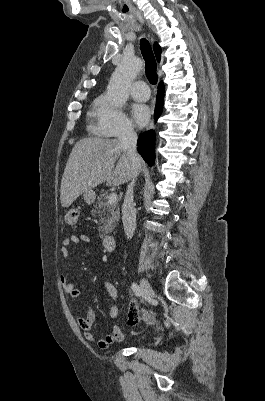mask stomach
Listing matches in <instances>:
<instances>
[{"mask_svg": "<svg viewBox=\"0 0 265 401\" xmlns=\"http://www.w3.org/2000/svg\"><path fill=\"white\" fill-rule=\"evenodd\" d=\"M95 190H87V192H83V198L85 203H88V205H92V203H94L95 201Z\"/></svg>", "mask_w": 265, "mask_h": 401, "instance_id": "1", "label": "stomach"}]
</instances>
